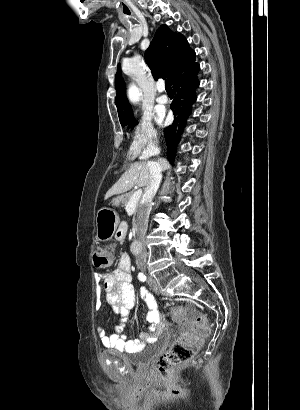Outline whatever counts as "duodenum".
Masks as SVG:
<instances>
[{
  "label": "duodenum",
  "mask_w": 300,
  "mask_h": 410,
  "mask_svg": "<svg viewBox=\"0 0 300 410\" xmlns=\"http://www.w3.org/2000/svg\"><path fill=\"white\" fill-rule=\"evenodd\" d=\"M140 250H141V248H140V245L138 244V240L133 241L132 244H131L132 253L135 254V255H139Z\"/></svg>",
  "instance_id": "410a0bca"
}]
</instances>
